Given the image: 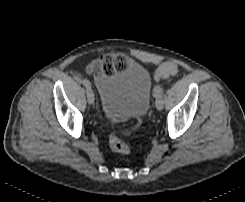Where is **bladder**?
<instances>
[{
    "label": "bladder",
    "instance_id": "bladder-1",
    "mask_svg": "<svg viewBox=\"0 0 245 202\" xmlns=\"http://www.w3.org/2000/svg\"><path fill=\"white\" fill-rule=\"evenodd\" d=\"M101 113L114 123L143 119L152 97V80L148 70L133 63L129 68L95 77Z\"/></svg>",
    "mask_w": 245,
    "mask_h": 202
}]
</instances>
